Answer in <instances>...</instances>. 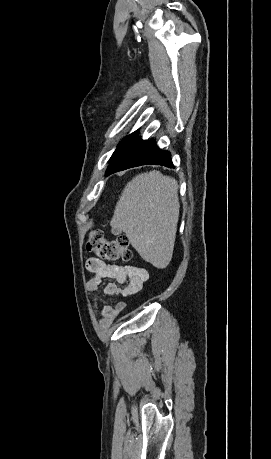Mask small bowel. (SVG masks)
Listing matches in <instances>:
<instances>
[{
  "label": "small bowel",
  "instance_id": "small-bowel-1",
  "mask_svg": "<svg viewBox=\"0 0 271 459\" xmlns=\"http://www.w3.org/2000/svg\"><path fill=\"white\" fill-rule=\"evenodd\" d=\"M86 268L91 274L87 282L88 291L92 293L101 291L107 297H127L136 294L148 279V272L144 268L107 264L97 258L88 259ZM106 279L114 282L106 284L101 290L100 285ZM125 309L126 304L123 301L117 302L114 306H105L102 310L100 327L103 329L109 327Z\"/></svg>",
  "mask_w": 271,
  "mask_h": 459
}]
</instances>
